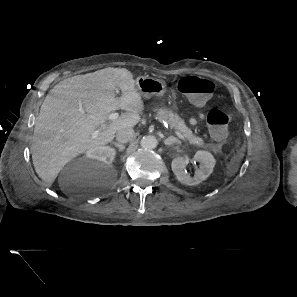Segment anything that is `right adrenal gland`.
Instances as JSON below:
<instances>
[{"mask_svg":"<svg viewBox=\"0 0 297 297\" xmlns=\"http://www.w3.org/2000/svg\"><path fill=\"white\" fill-rule=\"evenodd\" d=\"M111 144H114L116 148H118L119 152H122L125 149V146L117 143V142H111Z\"/></svg>","mask_w":297,"mask_h":297,"instance_id":"right-adrenal-gland-1","label":"right adrenal gland"}]
</instances>
